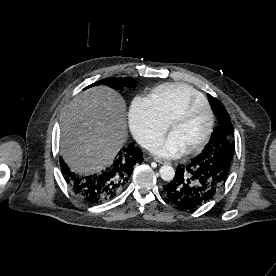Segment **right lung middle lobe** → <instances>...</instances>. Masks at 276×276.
I'll return each mask as SVG.
<instances>
[{
	"label": "right lung middle lobe",
	"instance_id": "dd1d6c3e",
	"mask_svg": "<svg viewBox=\"0 0 276 276\" xmlns=\"http://www.w3.org/2000/svg\"><path fill=\"white\" fill-rule=\"evenodd\" d=\"M100 84H107L108 86L114 88V89H120L124 86H135L136 83L131 78H110V79H103L98 82H95L92 85L87 86L85 89L90 88L92 86L100 85Z\"/></svg>",
	"mask_w": 276,
	"mask_h": 276
}]
</instances>
